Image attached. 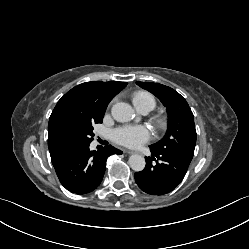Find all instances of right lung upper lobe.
<instances>
[{
	"label": "right lung upper lobe",
	"mask_w": 249,
	"mask_h": 249,
	"mask_svg": "<svg viewBox=\"0 0 249 249\" xmlns=\"http://www.w3.org/2000/svg\"><path fill=\"white\" fill-rule=\"evenodd\" d=\"M127 82L92 81L80 84L68 91L57 103L49 118L48 148L53 166L72 150V131L104 116L112 98Z\"/></svg>",
	"instance_id": "cb5924a9"
}]
</instances>
